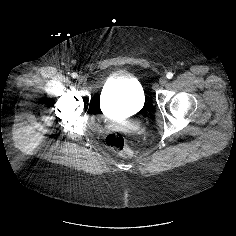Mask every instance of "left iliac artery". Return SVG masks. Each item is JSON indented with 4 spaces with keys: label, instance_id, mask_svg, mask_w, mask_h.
Returning <instances> with one entry per match:
<instances>
[{
    "label": "left iliac artery",
    "instance_id": "left-iliac-artery-1",
    "mask_svg": "<svg viewBox=\"0 0 236 236\" xmlns=\"http://www.w3.org/2000/svg\"><path fill=\"white\" fill-rule=\"evenodd\" d=\"M166 77H167L168 79H171V78L173 77V73L168 72L167 75H166Z\"/></svg>",
    "mask_w": 236,
    "mask_h": 236
}]
</instances>
